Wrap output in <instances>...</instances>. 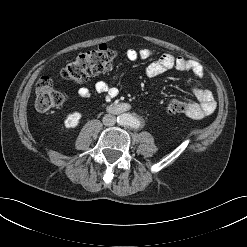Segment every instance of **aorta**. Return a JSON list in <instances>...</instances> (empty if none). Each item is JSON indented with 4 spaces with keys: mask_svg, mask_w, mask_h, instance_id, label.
I'll list each match as a JSON object with an SVG mask.
<instances>
[{
    "mask_svg": "<svg viewBox=\"0 0 247 247\" xmlns=\"http://www.w3.org/2000/svg\"><path fill=\"white\" fill-rule=\"evenodd\" d=\"M117 121L120 125L123 126H132V127L139 126V120L129 113H123L119 115Z\"/></svg>",
    "mask_w": 247,
    "mask_h": 247,
    "instance_id": "762f6f07",
    "label": "aorta"
}]
</instances>
